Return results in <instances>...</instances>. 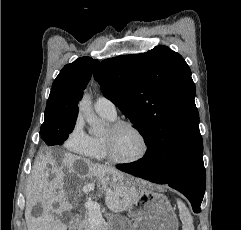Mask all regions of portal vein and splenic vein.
Here are the masks:
<instances>
[{
  "instance_id": "1",
  "label": "portal vein and splenic vein",
  "mask_w": 241,
  "mask_h": 230,
  "mask_svg": "<svg viewBox=\"0 0 241 230\" xmlns=\"http://www.w3.org/2000/svg\"><path fill=\"white\" fill-rule=\"evenodd\" d=\"M93 189L92 186H89L86 191H89ZM85 208L88 210L89 212V221L91 224L93 225H101L104 221L102 214L100 212V206L98 205V203L93 202V201H87L85 203Z\"/></svg>"
}]
</instances>
